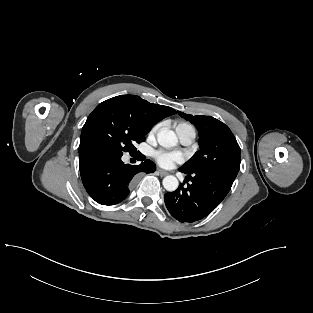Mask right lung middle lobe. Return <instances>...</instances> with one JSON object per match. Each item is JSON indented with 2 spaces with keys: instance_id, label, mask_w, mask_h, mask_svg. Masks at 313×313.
<instances>
[{
  "instance_id": "right-lung-middle-lobe-1",
  "label": "right lung middle lobe",
  "mask_w": 313,
  "mask_h": 313,
  "mask_svg": "<svg viewBox=\"0 0 313 313\" xmlns=\"http://www.w3.org/2000/svg\"><path fill=\"white\" fill-rule=\"evenodd\" d=\"M151 129L130 108L116 102L103 104L87 127L90 148L100 147L123 152L136 151L135 143L145 141Z\"/></svg>"
}]
</instances>
